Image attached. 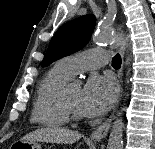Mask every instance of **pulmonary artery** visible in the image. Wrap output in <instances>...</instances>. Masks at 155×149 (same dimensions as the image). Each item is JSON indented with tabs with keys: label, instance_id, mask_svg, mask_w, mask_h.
Segmentation results:
<instances>
[{
	"label": "pulmonary artery",
	"instance_id": "obj_1",
	"mask_svg": "<svg viewBox=\"0 0 155 149\" xmlns=\"http://www.w3.org/2000/svg\"><path fill=\"white\" fill-rule=\"evenodd\" d=\"M104 49H88L62 58L57 64L70 78L79 72L89 71L108 63Z\"/></svg>",
	"mask_w": 155,
	"mask_h": 149
}]
</instances>
